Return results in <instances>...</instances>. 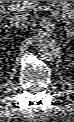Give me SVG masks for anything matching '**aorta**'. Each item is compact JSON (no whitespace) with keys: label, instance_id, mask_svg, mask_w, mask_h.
<instances>
[{"label":"aorta","instance_id":"1","mask_svg":"<svg viewBox=\"0 0 74 122\" xmlns=\"http://www.w3.org/2000/svg\"><path fill=\"white\" fill-rule=\"evenodd\" d=\"M38 49L40 57L46 61H51L57 58L61 53L56 41L49 37H44L39 41Z\"/></svg>","mask_w":74,"mask_h":122}]
</instances>
